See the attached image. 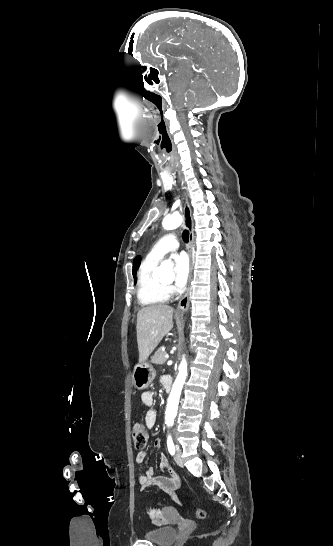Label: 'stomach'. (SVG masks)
Segmentation results:
<instances>
[{"label": "stomach", "instance_id": "1", "mask_svg": "<svg viewBox=\"0 0 333 546\" xmlns=\"http://www.w3.org/2000/svg\"><path fill=\"white\" fill-rule=\"evenodd\" d=\"M155 375L156 371L152 364L139 361L134 366L132 374L133 384L139 390L146 389L154 380Z\"/></svg>", "mask_w": 333, "mask_h": 546}]
</instances>
